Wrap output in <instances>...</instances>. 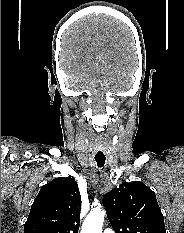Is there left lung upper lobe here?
<instances>
[{
    "instance_id": "left-lung-upper-lobe-1",
    "label": "left lung upper lobe",
    "mask_w": 184,
    "mask_h": 233,
    "mask_svg": "<svg viewBox=\"0 0 184 233\" xmlns=\"http://www.w3.org/2000/svg\"><path fill=\"white\" fill-rule=\"evenodd\" d=\"M116 233H166L155 193L139 181L124 182L103 197Z\"/></svg>"
}]
</instances>
